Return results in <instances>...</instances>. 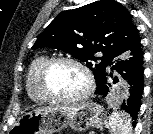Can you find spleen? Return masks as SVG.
I'll list each match as a JSON object with an SVG mask.
<instances>
[{
  "label": "spleen",
  "instance_id": "1",
  "mask_svg": "<svg viewBox=\"0 0 153 134\" xmlns=\"http://www.w3.org/2000/svg\"><path fill=\"white\" fill-rule=\"evenodd\" d=\"M109 126L113 134H132L131 122L126 112H114L109 120Z\"/></svg>",
  "mask_w": 153,
  "mask_h": 134
}]
</instances>
